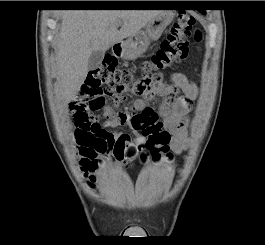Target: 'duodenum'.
I'll return each mask as SVG.
<instances>
[{
    "instance_id": "obj_1",
    "label": "duodenum",
    "mask_w": 265,
    "mask_h": 245,
    "mask_svg": "<svg viewBox=\"0 0 265 245\" xmlns=\"http://www.w3.org/2000/svg\"><path fill=\"white\" fill-rule=\"evenodd\" d=\"M112 52L116 57H121L123 53L122 44L116 43L112 48Z\"/></svg>"
}]
</instances>
